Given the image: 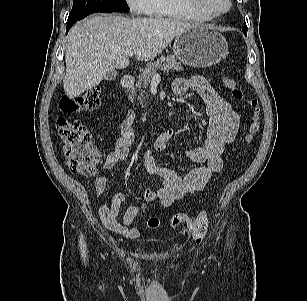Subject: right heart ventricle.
<instances>
[{"instance_id": "e07e8e85", "label": "right heart ventricle", "mask_w": 307, "mask_h": 301, "mask_svg": "<svg viewBox=\"0 0 307 301\" xmlns=\"http://www.w3.org/2000/svg\"><path fill=\"white\" fill-rule=\"evenodd\" d=\"M148 15L155 18L189 22H207L212 20V18L191 11L183 0H152Z\"/></svg>"}]
</instances>
